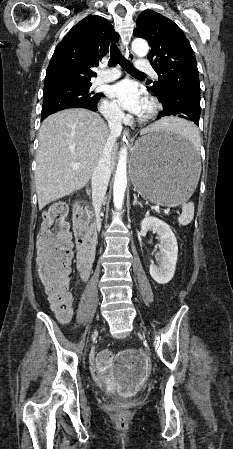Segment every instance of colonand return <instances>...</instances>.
<instances>
[{"label":"colon","instance_id":"1","mask_svg":"<svg viewBox=\"0 0 233 449\" xmlns=\"http://www.w3.org/2000/svg\"><path fill=\"white\" fill-rule=\"evenodd\" d=\"M67 203L52 202L44 216L38 235V275L42 286L61 317L71 314L70 266L72 243L66 215ZM124 413L120 412L122 416Z\"/></svg>","mask_w":233,"mask_h":449}]
</instances>
